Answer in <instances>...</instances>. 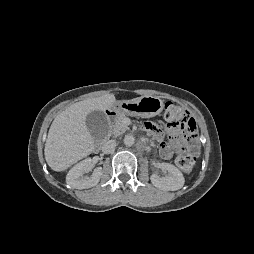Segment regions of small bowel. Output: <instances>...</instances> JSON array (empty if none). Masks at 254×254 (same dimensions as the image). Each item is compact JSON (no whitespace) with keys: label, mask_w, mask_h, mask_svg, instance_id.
<instances>
[{"label":"small bowel","mask_w":254,"mask_h":254,"mask_svg":"<svg viewBox=\"0 0 254 254\" xmlns=\"http://www.w3.org/2000/svg\"><path fill=\"white\" fill-rule=\"evenodd\" d=\"M143 129L160 142V155L163 159L166 160L172 158L174 154V147L178 146L181 142L184 141L179 129L170 127L167 129V133L171 139L172 144L164 141L163 134L155 123L146 122L143 124Z\"/></svg>","instance_id":"1"}]
</instances>
